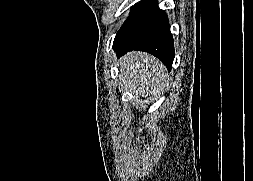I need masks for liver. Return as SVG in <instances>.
<instances>
[{
  "instance_id": "1",
  "label": "liver",
  "mask_w": 253,
  "mask_h": 181,
  "mask_svg": "<svg viewBox=\"0 0 253 181\" xmlns=\"http://www.w3.org/2000/svg\"><path fill=\"white\" fill-rule=\"evenodd\" d=\"M118 66L125 88L142 96L155 94L169 78L165 66L148 53L130 52L121 57Z\"/></svg>"
}]
</instances>
